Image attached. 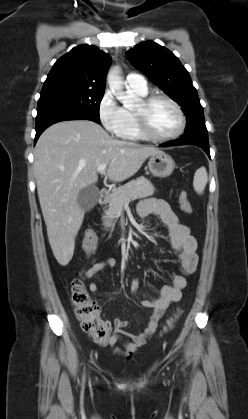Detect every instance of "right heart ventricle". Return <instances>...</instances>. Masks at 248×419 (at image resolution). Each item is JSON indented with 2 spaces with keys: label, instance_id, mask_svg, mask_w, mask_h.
I'll list each match as a JSON object with an SVG mask.
<instances>
[{
  "label": "right heart ventricle",
  "instance_id": "1",
  "mask_svg": "<svg viewBox=\"0 0 248 419\" xmlns=\"http://www.w3.org/2000/svg\"><path fill=\"white\" fill-rule=\"evenodd\" d=\"M132 90L140 97H145L147 95V90L144 92L134 90V89ZM125 113H126V124H125L121 137L126 140H131V141L143 140L144 137L140 134L137 127L136 119L134 116V111L130 109H125Z\"/></svg>",
  "mask_w": 248,
  "mask_h": 419
}]
</instances>
